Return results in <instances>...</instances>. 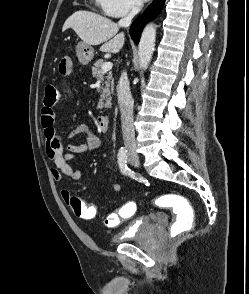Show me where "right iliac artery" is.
<instances>
[{
  "instance_id": "obj_1",
  "label": "right iliac artery",
  "mask_w": 249,
  "mask_h": 294,
  "mask_svg": "<svg viewBox=\"0 0 249 294\" xmlns=\"http://www.w3.org/2000/svg\"><path fill=\"white\" fill-rule=\"evenodd\" d=\"M118 164L121 172L124 175H131L132 172L127 166V150L124 147H121L118 152Z\"/></svg>"
}]
</instances>
